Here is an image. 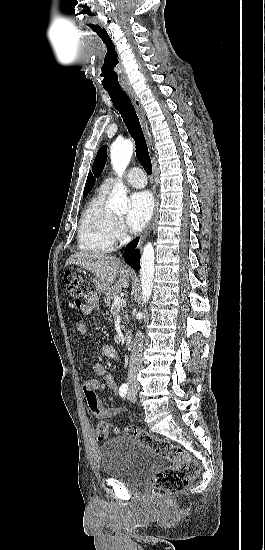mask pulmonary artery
I'll return each instance as SVG.
<instances>
[{"instance_id":"e3ab8cb5","label":"pulmonary artery","mask_w":265,"mask_h":550,"mask_svg":"<svg viewBox=\"0 0 265 550\" xmlns=\"http://www.w3.org/2000/svg\"><path fill=\"white\" fill-rule=\"evenodd\" d=\"M126 182L128 183V185L134 188H143L147 184L146 176L143 173V171L139 168H132L129 170V172L126 175ZM117 183H118V179L116 177H109L103 182L101 188L109 191Z\"/></svg>"}]
</instances>
